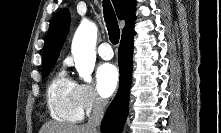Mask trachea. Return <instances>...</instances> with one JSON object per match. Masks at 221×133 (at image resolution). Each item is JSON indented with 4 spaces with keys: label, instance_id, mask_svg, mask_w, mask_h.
<instances>
[{
    "label": "trachea",
    "instance_id": "trachea-1",
    "mask_svg": "<svg viewBox=\"0 0 221 133\" xmlns=\"http://www.w3.org/2000/svg\"><path fill=\"white\" fill-rule=\"evenodd\" d=\"M103 13L108 29L109 39L113 44H117L119 42L120 30L115 12L109 0L103 1Z\"/></svg>",
    "mask_w": 221,
    "mask_h": 133
}]
</instances>
